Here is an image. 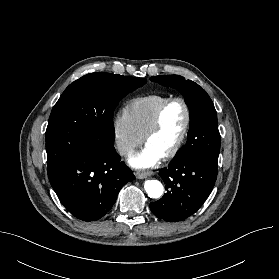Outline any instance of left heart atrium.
Here are the masks:
<instances>
[{"mask_svg": "<svg viewBox=\"0 0 279 279\" xmlns=\"http://www.w3.org/2000/svg\"><path fill=\"white\" fill-rule=\"evenodd\" d=\"M162 156L153 150L151 147L146 146L142 151L134 154L129 162L133 167L146 168L154 166Z\"/></svg>", "mask_w": 279, "mask_h": 279, "instance_id": "obj_1", "label": "left heart atrium"}]
</instances>
